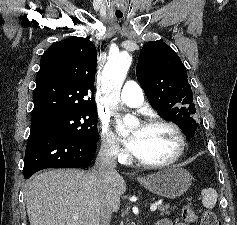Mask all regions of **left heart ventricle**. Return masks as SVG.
<instances>
[{
  "label": "left heart ventricle",
  "instance_id": "left-heart-ventricle-1",
  "mask_svg": "<svg viewBox=\"0 0 237 225\" xmlns=\"http://www.w3.org/2000/svg\"><path fill=\"white\" fill-rule=\"evenodd\" d=\"M139 139L136 156L149 162L171 158L178 147L174 132L164 126H138L133 130Z\"/></svg>",
  "mask_w": 237,
  "mask_h": 225
}]
</instances>
